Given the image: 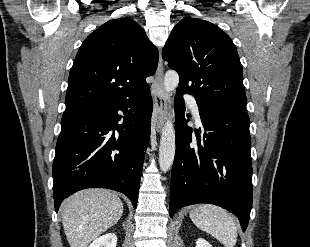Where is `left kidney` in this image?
I'll list each match as a JSON object with an SVG mask.
<instances>
[{
	"instance_id": "5707ae66",
	"label": "left kidney",
	"mask_w": 310,
	"mask_h": 247,
	"mask_svg": "<svg viewBox=\"0 0 310 247\" xmlns=\"http://www.w3.org/2000/svg\"><path fill=\"white\" fill-rule=\"evenodd\" d=\"M196 247H213V246L203 238H199L196 241Z\"/></svg>"
}]
</instances>
